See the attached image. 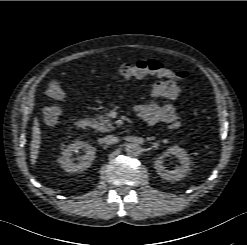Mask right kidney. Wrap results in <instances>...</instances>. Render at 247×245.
<instances>
[{
    "label": "right kidney",
    "instance_id": "obj_1",
    "mask_svg": "<svg viewBox=\"0 0 247 245\" xmlns=\"http://www.w3.org/2000/svg\"><path fill=\"white\" fill-rule=\"evenodd\" d=\"M82 149L85 152V155L79 158V163H74L73 154ZM96 149L92 147L87 142L76 141L73 144H70L58 158V162L62 168L69 173L81 172L89 168L92 164V161L95 158Z\"/></svg>",
    "mask_w": 247,
    "mask_h": 245
}]
</instances>
